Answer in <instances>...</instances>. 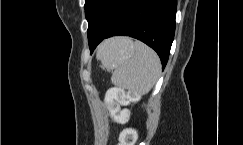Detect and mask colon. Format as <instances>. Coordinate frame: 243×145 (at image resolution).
Instances as JSON below:
<instances>
[{
    "label": "colon",
    "mask_w": 243,
    "mask_h": 145,
    "mask_svg": "<svg viewBox=\"0 0 243 145\" xmlns=\"http://www.w3.org/2000/svg\"><path fill=\"white\" fill-rule=\"evenodd\" d=\"M139 95L136 92L125 93L122 89L111 88L106 95V105L108 111H114L119 103L138 100ZM126 113L116 116L117 121H125ZM136 132L133 129H126L120 134L118 145H134L136 142Z\"/></svg>",
    "instance_id": "1"
}]
</instances>
